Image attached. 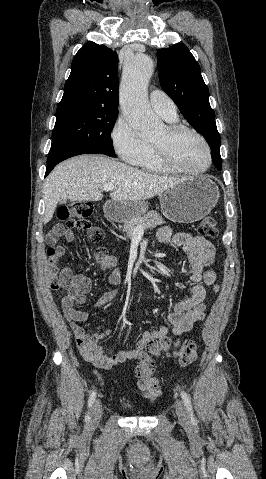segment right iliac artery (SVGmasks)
<instances>
[{"mask_svg":"<svg viewBox=\"0 0 266 479\" xmlns=\"http://www.w3.org/2000/svg\"><path fill=\"white\" fill-rule=\"evenodd\" d=\"M95 399H96V391H93L91 393V395L89 396V399H88V407L89 408L93 405V403L95 402ZM86 418H89L88 414L86 415Z\"/></svg>","mask_w":266,"mask_h":479,"instance_id":"82829eb1","label":"right iliac artery"}]
</instances>
